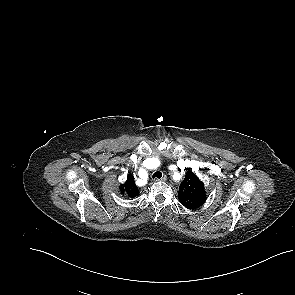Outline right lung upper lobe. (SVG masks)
<instances>
[{
  "mask_svg": "<svg viewBox=\"0 0 295 295\" xmlns=\"http://www.w3.org/2000/svg\"><path fill=\"white\" fill-rule=\"evenodd\" d=\"M121 191H126L128 196L131 198L136 197L139 194V190L137 189L134 178L132 175H128L127 181L123 186L120 187Z\"/></svg>",
  "mask_w": 295,
  "mask_h": 295,
  "instance_id": "right-lung-upper-lobe-1",
  "label": "right lung upper lobe"
}]
</instances>
